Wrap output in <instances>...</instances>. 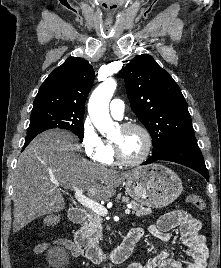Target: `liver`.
I'll return each instance as SVG.
<instances>
[{"label": "liver", "mask_w": 221, "mask_h": 268, "mask_svg": "<svg viewBox=\"0 0 221 268\" xmlns=\"http://www.w3.org/2000/svg\"><path fill=\"white\" fill-rule=\"evenodd\" d=\"M79 149L73 134L49 130L21 153L14 179V232L38 217L63 210L60 187L87 190L94 200H109L135 172L107 169L78 155Z\"/></svg>", "instance_id": "liver-1"}]
</instances>
